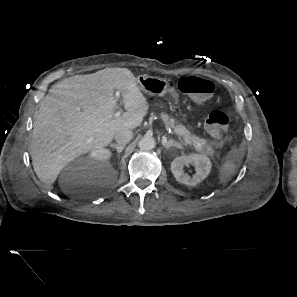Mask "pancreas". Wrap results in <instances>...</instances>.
Listing matches in <instances>:
<instances>
[{
  "mask_svg": "<svg viewBox=\"0 0 297 297\" xmlns=\"http://www.w3.org/2000/svg\"><path fill=\"white\" fill-rule=\"evenodd\" d=\"M161 119L168 127L173 129L177 135L189 140L191 142L190 145L194 146L197 151L209 156L215 155L214 144L212 142H208L204 138L191 134L186 127L177 124L175 120L170 118L166 113L161 114Z\"/></svg>",
  "mask_w": 297,
  "mask_h": 297,
  "instance_id": "cf45deb5",
  "label": "pancreas"
}]
</instances>
